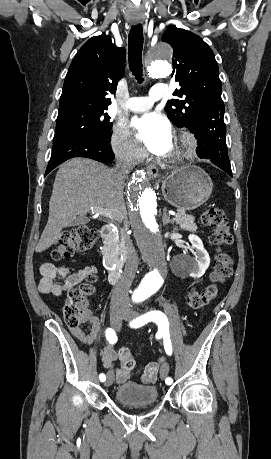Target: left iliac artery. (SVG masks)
<instances>
[{
	"label": "left iliac artery",
	"instance_id": "obj_1",
	"mask_svg": "<svg viewBox=\"0 0 271 459\" xmlns=\"http://www.w3.org/2000/svg\"><path fill=\"white\" fill-rule=\"evenodd\" d=\"M152 321L155 322L158 325V334L159 336H164V348L165 351L168 355L172 354V345L170 341V335H169V323L168 319L165 316L164 313L158 310L150 311L147 312L146 314L136 318L132 322H130V326L132 328H138L146 324L147 322ZM166 386L170 387L172 386V379L168 378L166 380Z\"/></svg>",
	"mask_w": 271,
	"mask_h": 459
}]
</instances>
